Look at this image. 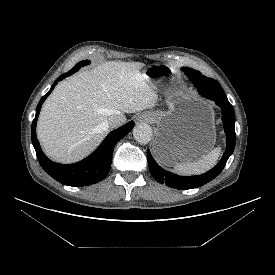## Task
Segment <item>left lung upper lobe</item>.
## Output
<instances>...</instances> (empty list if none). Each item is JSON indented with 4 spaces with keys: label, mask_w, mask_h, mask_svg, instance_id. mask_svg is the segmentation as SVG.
Wrapping results in <instances>:
<instances>
[{
    "label": "left lung upper lobe",
    "mask_w": 275,
    "mask_h": 275,
    "mask_svg": "<svg viewBox=\"0 0 275 275\" xmlns=\"http://www.w3.org/2000/svg\"><path fill=\"white\" fill-rule=\"evenodd\" d=\"M183 70L186 74H193V75L200 74V75H202L199 71H196V70L191 69V68H183ZM214 84H215V88L217 89V91L220 92L221 94H224L220 84L216 80H214ZM198 91H199L200 94H202V95L204 94L202 92V90L198 89Z\"/></svg>",
    "instance_id": "left-lung-upper-lobe-1"
}]
</instances>
